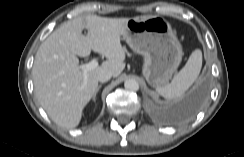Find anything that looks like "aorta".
<instances>
[{"instance_id": "aorta-1", "label": "aorta", "mask_w": 244, "mask_h": 157, "mask_svg": "<svg viewBox=\"0 0 244 157\" xmlns=\"http://www.w3.org/2000/svg\"><path fill=\"white\" fill-rule=\"evenodd\" d=\"M124 87H125V89H127L129 91H138L139 83L135 79L130 78L124 82Z\"/></svg>"}]
</instances>
